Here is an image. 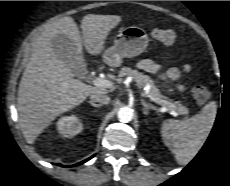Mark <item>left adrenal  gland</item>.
Instances as JSON below:
<instances>
[{"instance_id": "a2214340", "label": "left adrenal gland", "mask_w": 230, "mask_h": 186, "mask_svg": "<svg viewBox=\"0 0 230 186\" xmlns=\"http://www.w3.org/2000/svg\"><path fill=\"white\" fill-rule=\"evenodd\" d=\"M141 103L144 106L143 113L145 115L148 114L149 110H154L155 109V107L153 105L146 103L144 100H142Z\"/></svg>"}]
</instances>
